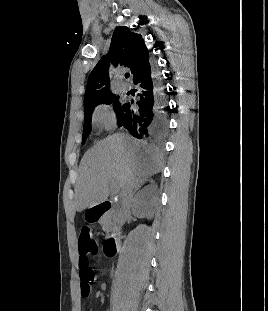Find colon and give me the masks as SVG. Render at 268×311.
I'll return each mask as SVG.
<instances>
[{"label":"colon","instance_id":"5ec220e1","mask_svg":"<svg viewBox=\"0 0 268 311\" xmlns=\"http://www.w3.org/2000/svg\"><path fill=\"white\" fill-rule=\"evenodd\" d=\"M97 250V244L92 238L91 228L83 226L78 239V251L81 291L84 296H88L91 285L96 278L95 271L90 267V261L97 254Z\"/></svg>","mask_w":268,"mask_h":311}]
</instances>
